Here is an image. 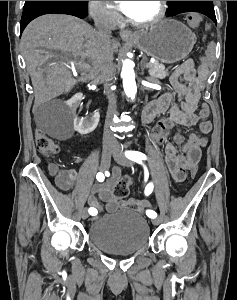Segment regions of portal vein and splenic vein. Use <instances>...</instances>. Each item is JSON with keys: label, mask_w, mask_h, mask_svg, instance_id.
Returning <instances> with one entry per match:
<instances>
[{"label": "portal vein and splenic vein", "mask_w": 237, "mask_h": 300, "mask_svg": "<svg viewBox=\"0 0 237 300\" xmlns=\"http://www.w3.org/2000/svg\"><path fill=\"white\" fill-rule=\"evenodd\" d=\"M146 64H148V65H147V68H149V69H152V68H154V65L150 64L149 62H148V63H146Z\"/></svg>", "instance_id": "18ae733b"}]
</instances>
